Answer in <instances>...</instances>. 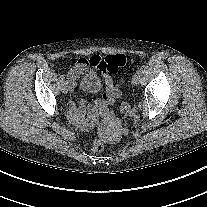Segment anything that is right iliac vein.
<instances>
[{"instance_id":"1","label":"right iliac vein","mask_w":207,"mask_h":207,"mask_svg":"<svg viewBox=\"0 0 207 207\" xmlns=\"http://www.w3.org/2000/svg\"><path fill=\"white\" fill-rule=\"evenodd\" d=\"M70 89H71V87L67 83H64L63 84V86H62V92L64 94H67Z\"/></svg>"}]
</instances>
